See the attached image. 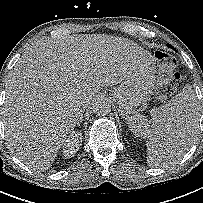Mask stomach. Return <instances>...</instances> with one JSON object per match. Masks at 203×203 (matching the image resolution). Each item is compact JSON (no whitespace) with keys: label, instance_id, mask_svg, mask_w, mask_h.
<instances>
[{"label":"stomach","instance_id":"stomach-1","mask_svg":"<svg viewBox=\"0 0 203 203\" xmlns=\"http://www.w3.org/2000/svg\"><path fill=\"white\" fill-rule=\"evenodd\" d=\"M155 88V77L150 67L137 68L130 77L113 90L112 97L119 106L120 115L129 120L138 107L145 106Z\"/></svg>","mask_w":203,"mask_h":203}]
</instances>
